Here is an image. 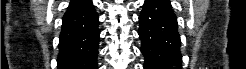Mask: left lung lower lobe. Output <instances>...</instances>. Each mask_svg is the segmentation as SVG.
Masks as SVG:
<instances>
[{"label": "left lung lower lobe", "mask_w": 246, "mask_h": 69, "mask_svg": "<svg viewBox=\"0 0 246 69\" xmlns=\"http://www.w3.org/2000/svg\"><path fill=\"white\" fill-rule=\"evenodd\" d=\"M139 23L144 69H181V41L170 2L146 0Z\"/></svg>", "instance_id": "1"}]
</instances>
